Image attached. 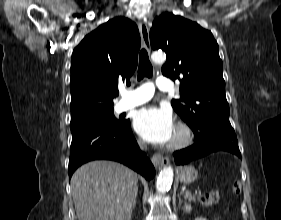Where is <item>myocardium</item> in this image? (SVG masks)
I'll list each match as a JSON object with an SVG mask.
<instances>
[{
  "label": "myocardium",
  "instance_id": "1",
  "mask_svg": "<svg viewBox=\"0 0 281 220\" xmlns=\"http://www.w3.org/2000/svg\"><path fill=\"white\" fill-rule=\"evenodd\" d=\"M175 128L180 133L178 141L169 143L167 148L170 150H179L189 146L193 141V130L186 122L179 121L176 123Z\"/></svg>",
  "mask_w": 281,
  "mask_h": 220
}]
</instances>
